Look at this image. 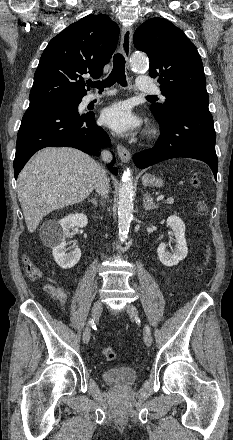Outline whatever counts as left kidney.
<instances>
[{
	"instance_id": "1",
	"label": "left kidney",
	"mask_w": 233,
	"mask_h": 440,
	"mask_svg": "<svg viewBox=\"0 0 233 440\" xmlns=\"http://www.w3.org/2000/svg\"><path fill=\"white\" fill-rule=\"evenodd\" d=\"M167 224L172 229L176 246L173 254L166 251V244L161 243L157 249L158 257L161 263L165 266L172 267L177 265L188 254L187 242L185 239V224L177 216L173 215L167 218Z\"/></svg>"
}]
</instances>
